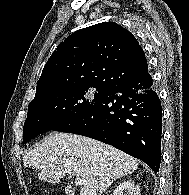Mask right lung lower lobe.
<instances>
[{
  "instance_id": "1",
  "label": "right lung lower lobe",
  "mask_w": 189,
  "mask_h": 195,
  "mask_svg": "<svg viewBox=\"0 0 189 195\" xmlns=\"http://www.w3.org/2000/svg\"><path fill=\"white\" fill-rule=\"evenodd\" d=\"M54 131L112 145L159 172L162 108L148 67L144 74L108 88L90 109Z\"/></svg>"
}]
</instances>
